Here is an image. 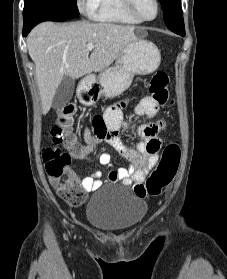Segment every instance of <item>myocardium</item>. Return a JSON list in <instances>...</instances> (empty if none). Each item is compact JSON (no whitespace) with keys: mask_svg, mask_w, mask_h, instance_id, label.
<instances>
[{"mask_svg":"<svg viewBox=\"0 0 227 279\" xmlns=\"http://www.w3.org/2000/svg\"><path fill=\"white\" fill-rule=\"evenodd\" d=\"M126 3L127 8L129 9V11L131 12V14L137 18L138 20L142 21V22H150L153 21L157 18L159 11H160V4L158 0H154L155 3V7H156V13L152 18H144L142 17L138 11L136 10L135 4H134V0H124Z\"/></svg>","mask_w":227,"mask_h":279,"instance_id":"obj_1","label":"myocardium"}]
</instances>
